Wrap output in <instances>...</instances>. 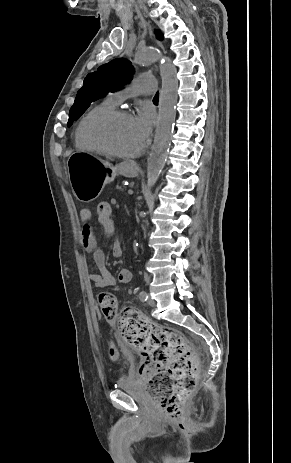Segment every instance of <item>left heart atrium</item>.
Listing matches in <instances>:
<instances>
[{
	"mask_svg": "<svg viewBox=\"0 0 291 463\" xmlns=\"http://www.w3.org/2000/svg\"><path fill=\"white\" fill-rule=\"evenodd\" d=\"M132 121L142 144H145L148 141L152 130L151 114L148 112H140L132 118Z\"/></svg>",
	"mask_w": 291,
	"mask_h": 463,
	"instance_id": "1",
	"label": "left heart atrium"
}]
</instances>
